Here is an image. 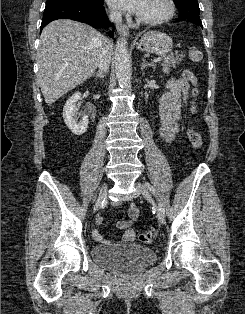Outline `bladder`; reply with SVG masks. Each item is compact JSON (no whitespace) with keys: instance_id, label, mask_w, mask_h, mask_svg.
Segmentation results:
<instances>
[{"instance_id":"1","label":"bladder","mask_w":245,"mask_h":314,"mask_svg":"<svg viewBox=\"0 0 245 314\" xmlns=\"http://www.w3.org/2000/svg\"><path fill=\"white\" fill-rule=\"evenodd\" d=\"M96 263L127 274H134L156 260V252L138 244L98 245L93 248Z\"/></svg>"}]
</instances>
